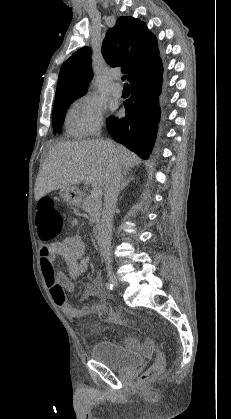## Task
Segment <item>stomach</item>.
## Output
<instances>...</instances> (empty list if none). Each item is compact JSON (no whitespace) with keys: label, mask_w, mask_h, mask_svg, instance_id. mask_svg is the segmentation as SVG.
Wrapping results in <instances>:
<instances>
[{"label":"stomach","mask_w":231,"mask_h":419,"mask_svg":"<svg viewBox=\"0 0 231 419\" xmlns=\"http://www.w3.org/2000/svg\"><path fill=\"white\" fill-rule=\"evenodd\" d=\"M60 197L68 204L77 205L81 200V191L74 186L60 189Z\"/></svg>","instance_id":"0dacf381"}]
</instances>
